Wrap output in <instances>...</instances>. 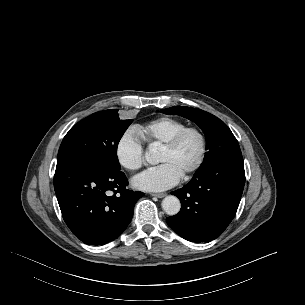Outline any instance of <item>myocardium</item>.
Here are the masks:
<instances>
[{
	"label": "myocardium",
	"mask_w": 305,
	"mask_h": 305,
	"mask_svg": "<svg viewBox=\"0 0 305 305\" xmlns=\"http://www.w3.org/2000/svg\"><path fill=\"white\" fill-rule=\"evenodd\" d=\"M193 133L197 135L200 141V153L196 163L183 175L184 178H190L197 173L205 163L207 157V139L204 132L195 126H187L178 131L168 142H166L161 150L172 151L178 147L186 135Z\"/></svg>",
	"instance_id": "myocardium-1"
}]
</instances>
